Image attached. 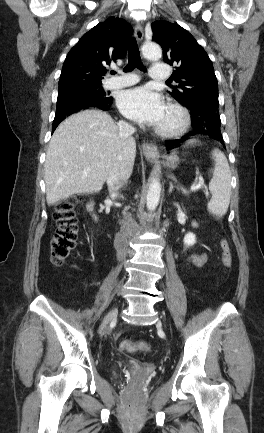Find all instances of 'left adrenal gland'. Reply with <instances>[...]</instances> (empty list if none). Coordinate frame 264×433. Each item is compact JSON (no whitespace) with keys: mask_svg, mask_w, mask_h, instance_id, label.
Wrapping results in <instances>:
<instances>
[{"mask_svg":"<svg viewBox=\"0 0 264 433\" xmlns=\"http://www.w3.org/2000/svg\"><path fill=\"white\" fill-rule=\"evenodd\" d=\"M174 188H176L177 190H179V187H178V186H174L172 182H169V190H168V193L170 194V193L173 191Z\"/></svg>","mask_w":264,"mask_h":433,"instance_id":"obj_1","label":"left adrenal gland"}]
</instances>
